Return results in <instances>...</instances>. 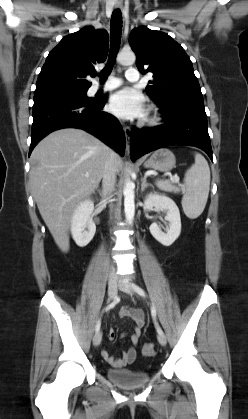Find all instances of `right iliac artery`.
I'll return each mask as SVG.
<instances>
[{
	"instance_id": "right-iliac-artery-1",
	"label": "right iliac artery",
	"mask_w": 248,
	"mask_h": 419,
	"mask_svg": "<svg viewBox=\"0 0 248 419\" xmlns=\"http://www.w3.org/2000/svg\"><path fill=\"white\" fill-rule=\"evenodd\" d=\"M118 300H119V298L117 297L116 300H114L111 304L106 306L103 311H108V310L112 309L116 305ZM100 326H101V321H100V318H99L97 323H96V326H95V331L96 332H98L100 330Z\"/></svg>"
}]
</instances>
